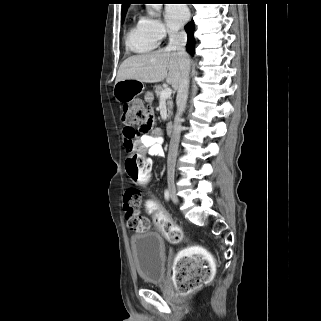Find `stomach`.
<instances>
[{
	"instance_id": "stomach-1",
	"label": "stomach",
	"mask_w": 321,
	"mask_h": 321,
	"mask_svg": "<svg viewBox=\"0 0 321 321\" xmlns=\"http://www.w3.org/2000/svg\"><path fill=\"white\" fill-rule=\"evenodd\" d=\"M144 85L142 82L126 79L116 82L114 85V97L120 103H127L136 95L142 93Z\"/></svg>"
}]
</instances>
